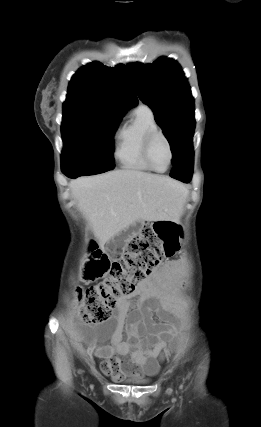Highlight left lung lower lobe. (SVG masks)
Segmentation results:
<instances>
[{"instance_id":"left-lung-lower-lobe-1","label":"left lung lower lobe","mask_w":261,"mask_h":427,"mask_svg":"<svg viewBox=\"0 0 261 427\" xmlns=\"http://www.w3.org/2000/svg\"><path fill=\"white\" fill-rule=\"evenodd\" d=\"M193 174V149L190 141L183 149L178 162L173 165L170 176L184 183L190 182Z\"/></svg>"}]
</instances>
